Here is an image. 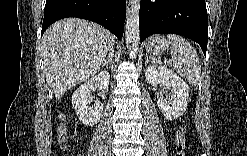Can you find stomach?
I'll return each mask as SVG.
<instances>
[{
  "instance_id": "stomach-1",
  "label": "stomach",
  "mask_w": 247,
  "mask_h": 156,
  "mask_svg": "<svg viewBox=\"0 0 247 156\" xmlns=\"http://www.w3.org/2000/svg\"><path fill=\"white\" fill-rule=\"evenodd\" d=\"M169 47V42L164 36L155 35L148 39L146 43V52L156 56Z\"/></svg>"
}]
</instances>
